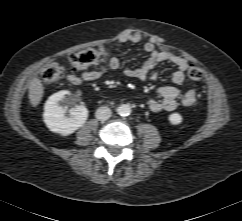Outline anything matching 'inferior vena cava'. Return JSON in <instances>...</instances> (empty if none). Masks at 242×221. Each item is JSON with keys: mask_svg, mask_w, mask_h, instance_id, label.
<instances>
[{"mask_svg": "<svg viewBox=\"0 0 242 221\" xmlns=\"http://www.w3.org/2000/svg\"><path fill=\"white\" fill-rule=\"evenodd\" d=\"M111 114L112 112L110 108L102 106L96 110L95 116L100 121H106L111 117Z\"/></svg>", "mask_w": 242, "mask_h": 221, "instance_id": "inferior-vena-cava-1", "label": "inferior vena cava"}]
</instances>
